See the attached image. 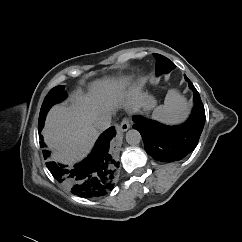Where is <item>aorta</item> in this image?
Returning a JSON list of instances; mask_svg holds the SVG:
<instances>
[{"mask_svg":"<svg viewBox=\"0 0 242 242\" xmlns=\"http://www.w3.org/2000/svg\"><path fill=\"white\" fill-rule=\"evenodd\" d=\"M126 142L129 145L135 146L140 143L142 140L141 134L138 130L136 129H131L126 133Z\"/></svg>","mask_w":242,"mask_h":242,"instance_id":"1","label":"aorta"}]
</instances>
